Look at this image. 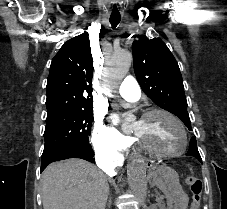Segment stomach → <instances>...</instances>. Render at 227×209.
I'll return each mask as SVG.
<instances>
[{
	"instance_id": "stomach-1",
	"label": "stomach",
	"mask_w": 227,
	"mask_h": 209,
	"mask_svg": "<svg viewBox=\"0 0 227 209\" xmlns=\"http://www.w3.org/2000/svg\"><path fill=\"white\" fill-rule=\"evenodd\" d=\"M154 184L165 194L168 209H186L189 198L183 191L177 172L161 165L153 173Z\"/></svg>"
}]
</instances>
